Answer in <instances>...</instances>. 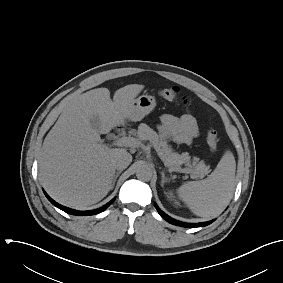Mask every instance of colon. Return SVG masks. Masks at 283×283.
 Instances as JSON below:
<instances>
[{"instance_id": "obj_1", "label": "colon", "mask_w": 283, "mask_h": 283, "mask_svg": "<svg viewBox=\"0 0 283 283\" xmlns=\"http://www.w3.org/2000/svg\"><path fill=\"white\" fill-rule=\"evenodd\" d=\"M160 97L166 100H174L180 96V90L177 87L165 88L159 91ZM207 143L212 151L218 148L219 137L216 131L209 130L206 134Z\"/></svg>"}]
</instances>
